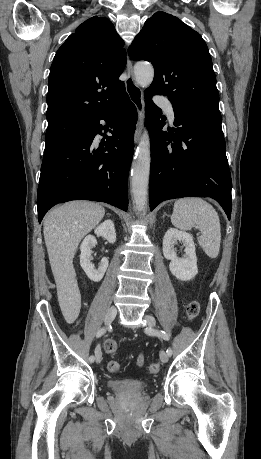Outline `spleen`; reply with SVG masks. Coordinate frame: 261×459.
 <instances>
[{
  "instance_id": "obj_1",
  "label": "spleen",
  "mask_w": 261,
  "mask_h": 459,
  "mask_svg": "<svg viewBox=\"0 0 261 459\" xmlns=\"http://www.w3.org/2000/svg\"><path fill=\"white\" fill-rule=\"evenodd\" d=\"M171 222L180 230L199 228V245L209 258H217L221 243L220 220L211 204L202 198H180L174 203Z\"/></svg>"
}]
</instances>
